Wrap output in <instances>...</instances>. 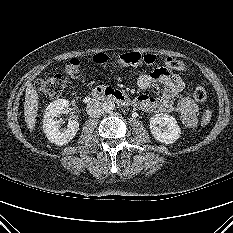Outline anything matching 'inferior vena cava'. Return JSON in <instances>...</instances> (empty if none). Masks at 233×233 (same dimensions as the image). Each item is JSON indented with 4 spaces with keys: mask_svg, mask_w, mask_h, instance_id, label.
<instances>
[{
    "mask_svg": "<svg viewBox=\"0 0 233 233\" xmlns=\"http://www.w3.org/2000/svg\"><path fill=\"white\" fill-rule=\"evenodd\" d=\"M86 110L91 117H100L105 111L104 103L100 101H92L87 104Z\"/></svg>",
    "mask_w": 233,
    "mask_h": 233,
    "instance_id": "1",
    "label": "inferior vena cava"
}]
</instances>
